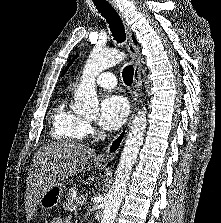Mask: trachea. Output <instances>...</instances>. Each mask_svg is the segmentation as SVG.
I'll list each match as a JSON object with an SVG mask.
<instances>
[{
	"label": "trachea",
	"mask_w": 221,
	"mask_h": 223,
	"mask_svg": "<svg viewBox=\"0 0 221 223\" xmlns=\"http://www.w3.org/2000/svg\"><path fill=\"white\" fill-rule=\"evenodd\" d=\"M94 5L100 14L106 19L109 24L112 36L117 43L124 42L126 38L125 28L120 16L115 9L106 0H93ZM134 68L132 65L126 66L123 69V81L126 85H131L133 82Z\"/></svg>",
	"instance_id": "obj_1"
}]
</instances>
